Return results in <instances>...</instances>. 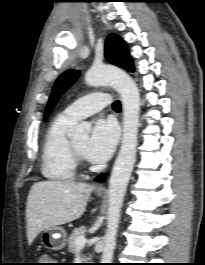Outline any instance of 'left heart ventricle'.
Wrapping results in <instances>:
<instances>
[{
  "mask_svg": "<svg viewBox=\"0 0 205 265\" xmlns=\"http://www.w3.org/2000/svg\"><path fill=\"white\" fill-rule=\"evenodd\" d=\"M73 142H74L75 146L83 153L85 146L88 142V139L85 137V138L77 139Z\"/></svg>",
  "mask_w": 205,
  "mask_h": 265,
  "instance_id": "obj_1",
  "label": "left heart ventricle"
}]
</instances>
